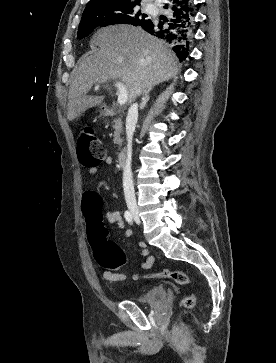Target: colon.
Returning a JSON list of instances; mask_svg holds the SVG:
<instances>
[{"label": "colon", "instance_id": "5ec220e1", "mask_svg": "<svg viewBox=\"0 0 276 363\" xmlns=\"http://www.w3.org/2000/svg\"><path fill=\"white\" fill-rule=\"evenodd\" d=\"M78 152L86 166H96L105 158V148L101 140L90 128H83L79 132ZM89 240L93 247L96 262L103 268L115 270L126 262V256L121 247L106 239L107 229L97 217V211L88 210ZM161 275L172 279L179 285H188L189 276L181 270L165 268ZM195 306V296L187 295L180 306L181 312H188Z\"/></svg>", "mask_w": 276, "mask_h": 363}]
</instances>
